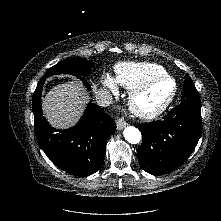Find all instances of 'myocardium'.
<instances>
[{
  "label": "myocardium",
  "instance_id": "f54148a6",
  "mask_svg": "<svg viewBox=\"0 0 221 221\" xmlns=\"http://www.w3.org/2000/svg\"><path fill=\"white\" fill-rule=\"evenodd\" d=\"M159 82H168L171 85L170 92L168 96L155 108L152 109H143L138 104V99L146 93L148 90H150L154 85H156ZM177 92V85L174 79L167 75H161L154 77L145 83L141 84L140 86L136 87L130 92L128 104L131 112L136 115L137 117L144 119V120H150L158 117L161 115L173 102Z\"/></svg>",
  "mask_w": 221,
  "mask_h": 221
}]
</instances>
